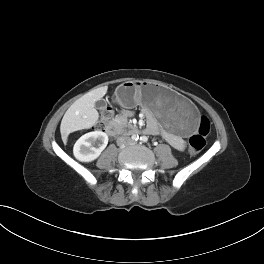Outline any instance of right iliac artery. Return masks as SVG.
I'll list each match as a JSON object with an SVG mask.
<instances>
[{
  "label": "right iliac artery",
  "mask_w": 264,
  "mask_h": 264,
  "mask_svg": "<svg viewBox=\"0 0 264 264\" xmlns=\"http://www.w3.org/2000/svg\"><path fill=\"white\" fill-rule=\"evenodd\" d=\"M132 139H133L134 141H137V140L139 139V135H138V134H133V135H132Z\"/></svg>",
  "instance_id": "82829eb1"
}]
</instances>
